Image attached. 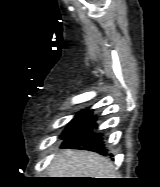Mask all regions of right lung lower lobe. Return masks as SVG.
<instances>
[{
	"label": "right lung lower lobe",
	"mask_w": 160,
	"mask_h": 187,
	"mask_svg": "<svg viewBox=\"0 0 160 187\" xmlns=\"http://www.w3.org/2000/svg\"><path fill=\"white\" fill-rule=\"evenodd\" d=\"M96 116L89 119L87 123H85L82 127H80L76 132L71 134L69 138H67L62 146L64 148H84L93 150L95 149L100 154L105 155L106 149L105 145L102 141L101 135L97 133H93V126H96Z\"/></svg>",
	"instance_id": "obj_1"
}]
</instances>
